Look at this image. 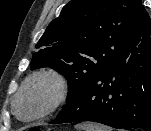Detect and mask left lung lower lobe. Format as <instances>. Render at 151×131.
Wrapping results in <instances>:
<instances>
[{
  "label": "left lung lower lobe",
  "instance_id": "left-lung-lower-lobe-1",
  "mask_svg": "<svg viewBox=\"0 0 151 131\" xmlns=\"http://www.w3.org/2000/svg\"><path fill=\"white\" fill-rule=\"evenodd\" d=\"M80 121L151 131V19L143 6L123 58L85 83L51 123Z\"/></svg>",
  "mask_w": 151,
  "mask_h": 131
}]
</instances>
